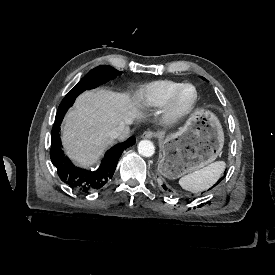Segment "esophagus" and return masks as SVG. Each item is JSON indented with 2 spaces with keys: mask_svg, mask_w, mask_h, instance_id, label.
I'll return each mask as SVG.
<instances>
[{
  "mask_svg": "<svg viewBox=\"0 0 275 275\" xmlns=\"http://www.w3.org/2000/svg\"><path fill=\"white\" fill-rule=\"evenodd\" d=\"M156 136V133L154 131H145L143 134H142V138H152V137H155Z\"/></svg>",
  "mask_w": 275,
  "mask_h": 275,
  "instance_id": "esophagus-1",
  "label": "esophagus"
}]
</instances>
